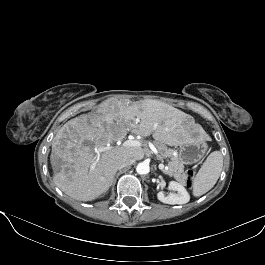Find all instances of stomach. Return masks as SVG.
Returning a JSON list of instances; mask_svg holds the SVG:
<instances>
[{
	"instance_id": "stomach-1",
	"label": "stomach",
	"mask_w": 265,
	"mask_h": 265,
	"mask_svg": "<svg viewBox=\"0 0 265 265\" xmlns=\"http://www.w3.org/2000/svg\"><path fill=\"white\" fill-rule=\"evenodd\" d=\"M205 153L203 142L193 139L180 146L179 160L184 164H194L198 162Z\"/></svg>"
}]
</instances>
